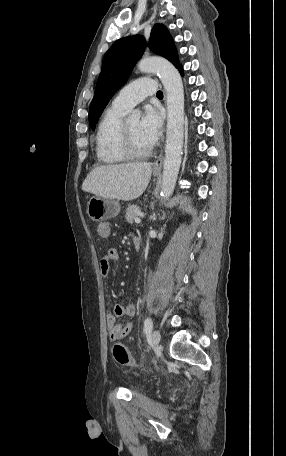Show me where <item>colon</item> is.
I'll use <instances>...</instances> for the list:
<instances>
[{
  "label": "colon",
  "instance_id": "obj_1",
  "mask_svg": "<svg viewBox=\"0 0 286 456\" xmlns=\"http://www.w3.org/2000/svg\"><path fill=\"white\" fill-rule=\"evenodd\" d=\"M113 356L116 362L123 366H134L135 361L128 349L122 344H115L113 347Z\"/></svg>",
  "mask_w": 286,
  "mask_h": 456
}]
</instances>
